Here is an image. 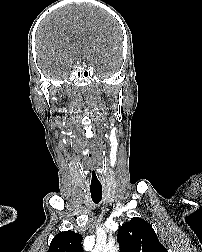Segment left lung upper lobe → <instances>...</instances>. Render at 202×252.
<instances>
[{
	"mask_svg": "<svg viewBox=\"0 0 202 252\" xmlns=\"http://www.w3.org/2000/svg\"><path fill=\"white\" fill-rule=\"evenodd\" d=\"M117 240L121 252H167L151 225L138 217L119 228Z\"/></svg>",
	"mask_w": 202,
	"mask_h": 252,
	"instance_id": "obj_1",
	"label": "left lung upper lobe"
}]
</instances>
